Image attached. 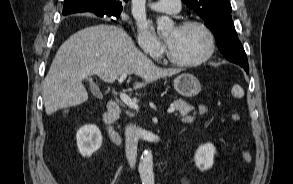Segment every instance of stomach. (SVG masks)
<instances>
[{
	"mask_svg": "<svg viewBox=\"0 0 293 184\" xmlns=\"http://www.w3.org/2000/svg\"><path fill=\"white\" fill-rule=\"evenodd\" d=\"M174 89L183 97H194L201 91L200 81L192 74L183 73L174 80Z\"/></svg>",
	"mask_w": 293,
	"mask_h": 184,
	"instance_id": "0dacf381",
	"label": "stomach"
}]
</instances>
